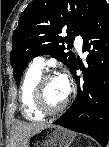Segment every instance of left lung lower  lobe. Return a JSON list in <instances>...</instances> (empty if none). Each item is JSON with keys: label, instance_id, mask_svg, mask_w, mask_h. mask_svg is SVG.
<instances>
[{"label": "left lung lower lobe", "instance_id": "left-lung-lower-lobe-1", "mask_svg": "<svg viewBox=\"0 0 109 147\" xmlns=\"http://www.w3.org/2000/svg\"><path fill=\"white\" fill-rule=\"evenodd\" d=\"M83 51H88V66L85 69L78 62L73 75L76 80L77 96L70 108L54 122L75 132L93 137L102 146L109 139V7L105 2L81 35ZM83 71V79L76 71ZM103 76L104 84L95 93L89 88L91 73Z\"/></svg>", "mask_w": 109, "mask_h": 147}]
</instances>
